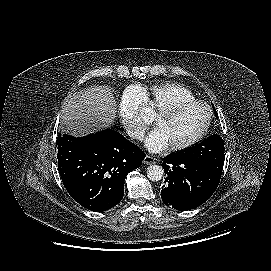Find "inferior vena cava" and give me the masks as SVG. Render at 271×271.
I'll return each instance as SVG.
<instances>
[{
  "instance_id": "obj_1",
  "label": "inferior vena cava",
  "mask_w": 271,
  "mask_h": 271,
  "mask_svg": "<svg viewBox=\"0 0 271 271\" xmlns=\"http://www.w3.org/2000/svg\"><path fill=\"white\" fill-rule=\"evenodd\" d=\"M128 134H129L130 137L136 138V139H139V140H142L144 138V133L143 132L129 131Z\"/></svg>"
}]
</instances>
